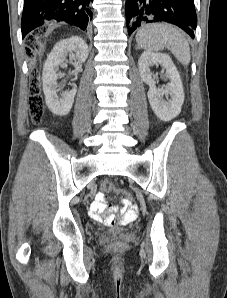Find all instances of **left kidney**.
Listing matches in <instances>:
<instances>
[{"label":"left kidney","mask_w":227,"mask_h":298,"mask_svg":"<svg viewBox=\"0 0 227 298\" xmlns=\"http://www.w3.org/2000/svg\"><path fill=\"white\" fill-rule=\"evenodd\" d=\"M161 65L166 69V77L170 83L165 88H157L150 67ZM138 68L142 80L149 85L148 99L158 118L169 121L181 112L184 102L183 84L172 59L165 53L145 51L138 60ZM165 96L167 100L163 98ZM170 96V99L168 97Z\"/></svg>","instance_id":"1"}]
</instances>
